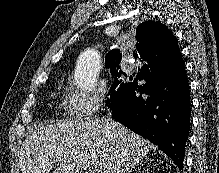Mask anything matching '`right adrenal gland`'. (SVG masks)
I'll list each match as a JSON object with an SVG mask.
<instances>
[{"label":"right adrenal gland","instance_id":"right-adrenal-gland-1","mask_svg":"<svg viewBox=\"0 0 219 173\" xmlns=\"http://www.w3.org/2000/svg\"><path fill=\"white\" fill-rule=\"evenodd\" d=\"M132 172V169L131 170H129L127 173H131Z\"/></svg>","mask_w":219,"mask_h":173}]
</instances>
